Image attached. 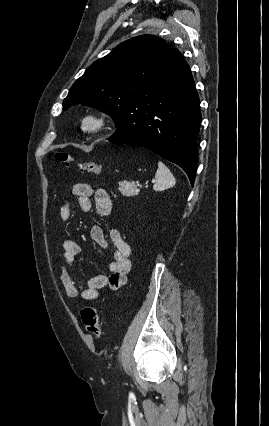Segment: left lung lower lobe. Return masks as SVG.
<instances>
[{"label": "left lung lower lobe", "instance_id": "obj_1", "mask_svg": "<svg viewBox=\"0 0 269 426\" xmlns=\"http://www.w3.org/2000/svg\"><path fill=\"white\" fill-rule=\"evenodd\" d=\"M200 102L187 62L177 49L129 102L124 120L108 140L135 144L179 165L193 186L197 169Z\"/></svg>", "mask_w": 269, "mask_h": 426}]
</instances>
